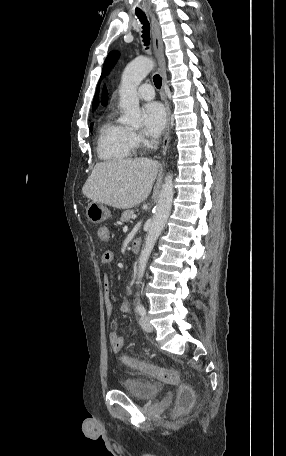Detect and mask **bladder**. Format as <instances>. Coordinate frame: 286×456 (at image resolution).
I'll list each match as a JSON object with an SVG mask.
<instances>
[{
    "instance_id": "bladder-1",
    "label": "bladder",
    "mask_w": 286,
    "mask_h": 456,
    "mask_svg": "<svg viewBox=\"0 0 286 456\" xmlns=\"http://www.w3.org/2000/svg\"><path fill=\"white\" fill-rule=\"evenodd\" d=\"M122 390L138 400L150 401L160 394L161 387L145 378L129 377L123 380Z\"/></svg>"
}]
</instances>
